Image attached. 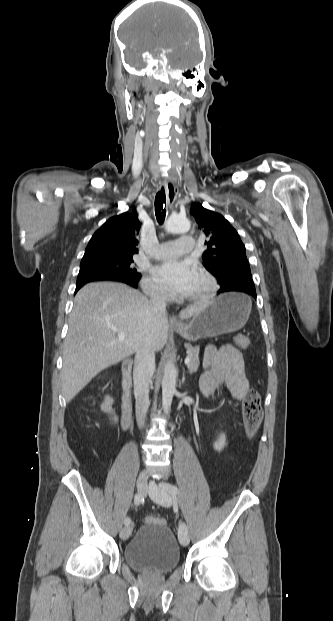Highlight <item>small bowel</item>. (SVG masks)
<instances>
[{
  "label": "small bowel",
  "mask_w": 333,
  "mask_h": 621,
  "mask_svg": "<svg viewBox=\"0 0 333 621\" xmlns=\"http://www.w3.org/2000/svg\"><path fill=\"white\" fill-rule=\"evenodd\" d=\"M205 369L199 380V388L204 396L212 394L220 385L226 384L236 400H242L249 388L245 365L241 353L232 346L209 347L203 358ZM113 399L105 396L101 410L115 424L117 418L112 409Z\"/></svg>",
  "instance_id": "1"
}]
</instances>
